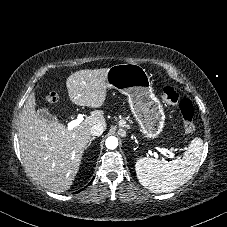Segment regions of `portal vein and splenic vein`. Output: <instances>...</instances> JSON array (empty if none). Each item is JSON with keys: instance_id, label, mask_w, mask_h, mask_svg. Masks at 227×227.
<instances>
[{"instance_id": "obj_1", "label": "portal vein and splenic vein", "mask_w": 227, "mask_h": 227, "mask_svg": "<svg viewBox=\"0 0 227 227\" xmlns=\"http://www.w3.org/2000/svg\"><path fill=\"white\" fill-rule=\"evenodd\" d=\"M82 121H83V114L80 113V114H78L77 119L72 120L71 122H69L67 124V129L72 130L73 128L78 126ZM161 153L168 158H174V156H175L174 153L171 150H168V149H162ZM154 156L156 158H158V154L154 153Z\"/></svg>"}]
</instances>
